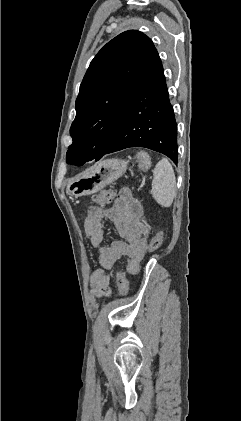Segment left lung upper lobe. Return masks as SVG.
Here are the masks:
<instances>
[{
	"label": "left lung upper lobe",
	"instance_id": "1",
	"mask_svg": "<svg viewBox=\"0 0 241 421\" xmlns=\"http://www.w3.org/2000/svg\"><path fill=\"white\" fill-rule=\"evenodd\" d=\"M154 49L146 35L129 30L108 42L91 61L76 99L68 164L99 160L110 148Z\"/></svg>",
	"mask_w": 241,
	"mask_h": 421
}]
</instances>
